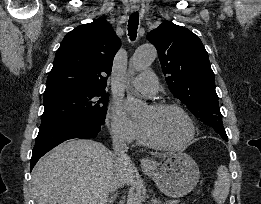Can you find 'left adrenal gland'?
I'll use <instances>...</instances> for the list:
<instances>
[{
  "mask_svg": "<svg viewBox=\"0 0 261 204\" xmlns=\"http://www.w3.org/2000/svg\"><path fill=\"white\" fill-rule=\"evenodd\" d=\"M152 204H161V201L155 199H152Z\"/></svg>",
  "mask_w": 261,
  "mask_h": 204,
  "instance_id": "left-adrenal-gland-1",
  "label": "left adrenal gland"
}]
</instances>
